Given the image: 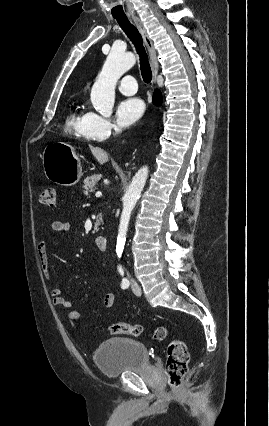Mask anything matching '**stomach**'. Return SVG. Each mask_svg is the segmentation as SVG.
I'll list each match as a JSON object with an SVG mask.
<instances>
[{"label": "stomach", "instance_id": "0dacf381", "mask_svg": "<svg viewBox=\"0 0 269 426\" xmlns=\"http://www.w3.org/2000/svg\"><path fill=\"white\" fill-rule=\"evenodd\" d=\"M46 178L61 186H73L82 176V166L74 148L64 142L47 145L42 155Z\"/></svg>", "mask_w": 269, "mask_h": 426}]
</instances>
